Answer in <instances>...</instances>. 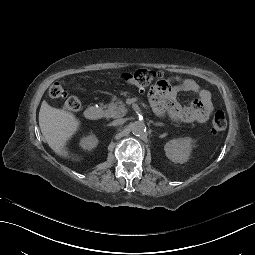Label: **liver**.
<instances>
[{
    "instance_id": "obj_1",
    "label": "liver",
    "mask_w": 255,
    "mask_h": 255,
    "mask_svg": "<svg viewBox=\"0 0 255 255\" xmlns=\"http://www.w3.org/2000/svg\"><path fill=\"white\" fill-rule=\"evenodd\" d=\"M81 122L68 111L50 106L45 100L39 112V127L44 139L56 156L64 160L80 162L81 158L68 152L67 144L79 131Z\"/></svg>"
}]
</instances>
